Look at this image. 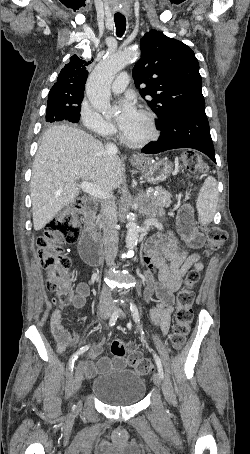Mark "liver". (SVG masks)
Masks as SVG:
<instances>
[{"mask_svg": "<svg viewBox=\"0 0 250 454\" xmlns=\"http://www.w3.org/2000/svg\"><path fill=\"white\" fill-rule=\"evenodd\" d=\"M91 181L112 193L124 179L120 158L86 132L68 125L49 128L32 166L33 223L39 231L78 196L77 180Z\"/></svg>", "mask_w": 250, "mask_h": 454, "instance_id": "obj_1", "label": "liver"}]
</instances>
